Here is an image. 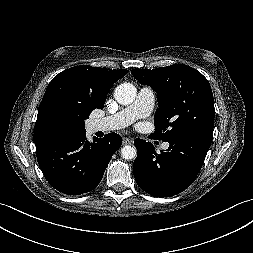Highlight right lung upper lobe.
I'll list each match as a JSON object with an SVG mask.
<instances>
[{"instance_id":"obj_1","label":"right lung upper lobe","mask_w":253,"mask_h":253,"mask_svg":"<svg viewBox=\"0 0 253 253\" xmlns=\"http://www.w3.org/2000/svg\"><path fill=\"white\" fill-rule=\"evenodd\" d=\"M127 72V70H108L81 65L66 69L55 76L49 83L38 110L33 135L35 144L48 136L42 130V115L46 103L51 98L88 100L95 106L103 108L107 93Z\"/></svg>"}]
</instances>
